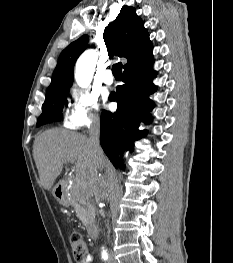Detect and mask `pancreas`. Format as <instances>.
Returning <instances> with one entry per match:
<instances>
[{
	"mask_svg": "<svg viewBox=\"0 0 233 263\" xmlns=\"http://www.w3.org/2000/svg\"><path fill=\"white\" fill-rule=\"evenodd\" d=\"M70 198L75 208L77 217L85 227L94 223L95 207L88 193L82 192L78 186L70 189Z\"/></svg>",
	"mask_w": 233,
	"mask_h": 263,
	"instance_id": "1",
	"label": "pancreas"
}]
</instances>
